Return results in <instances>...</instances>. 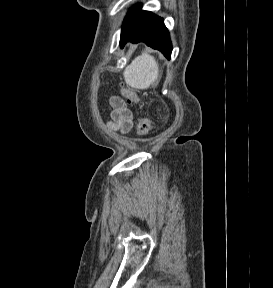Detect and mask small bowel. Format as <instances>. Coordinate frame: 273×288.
I'll return each mask as SVG.
<instances>
[{
    "mask_svg": "<svg viewBox=\"0 0 273 288\" xmlns=\"http://www.w3.org/2000/svg\"><path fill=\"white\" fill-rule=\"evenodd\" d=\"M109 103L112 108L109 127L122 134L128 133L133 127L134 117L127 103L118 96H112Z\"/></svg>",
    "mask_w": 273,
    "mask_h": 288,
    "instance_id": "obj_1",
    "label": "small bowel"
}]
</instances>
